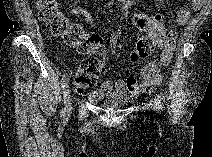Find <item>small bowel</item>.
<instances>
[{
	"label": "small bowel",
	"instance_id": "1",
	"mask_svg": "<svg viewBox=\"0 0 212 157\" xmlns=\"http://www.w3.org/2000/svg\"><path fill=\"white\" fill-rule=\"evenodd\" d=\"M120 3L122 8L132 11V23L137 29L143 32L154 31L163 33L166 39L161 46L162 51L159 59L150 62L141 68L139 72L140 81L135 76H128L124 79L106 80L99 89L89 94L88 99L91 103H96L101 98L112 94L124 95L129 93L133 97H136L144 93L146 90L159 85L162 79L160 70L170 63L173 56L177 32L174 30L166 32L159 19L134 8L133 1L122 0ZM189 5L198 8L201 5V1L195 0L189 3ZM69 14L82 17L92 28H106L113 24L111 21L106 23L97 22L91 13L83 7H73L70 9ZM189 17L190 6H185L177 12L176 23L180 26H184L188 22Z\"/></svg>",
	"mask_w": 212,
	"mask_h": 157
}]
</instances>
